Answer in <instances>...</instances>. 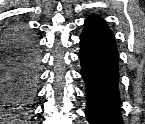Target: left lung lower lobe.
<instances>
[{"label":"left lung lower lobe","instance_id":"obj_1","mask_svg":"<svg viewBox=\"0 0 145 124\" xmlns=\"http://www.w3.org/2000/svg\"><path fill=\"white\" fill-rule=\"evenodd\" d=\"M82 77L86 84L90 124H123L118 89L119 53L112 31L99 16L85 20L79 53Z\"/></svg>","mask_w":145,"mask_h":124}]
</instances>
